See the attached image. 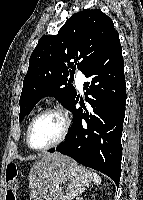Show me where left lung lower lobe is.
Here are the masks:
<instances>
[{
	"label": "left lung lower lobe",
	"mask_w": 143,
	"mask_h": 200,
	"mask_svg": "<svg viewBox=\"0 0 143 200\" xmlns=\"http://www.w3.org/2000/svg\"><path fill=\"white\" fill-rule=\"evenodd\" d=\"M88 107L70 106L73 125L65 141L50 152L59 151L78 163L98 170L119 185L121 176V136L125 117L126 82L119 35L84 73Z\"/></svg>",
	"instance_id": "0a47b994"
}]
</instances>
